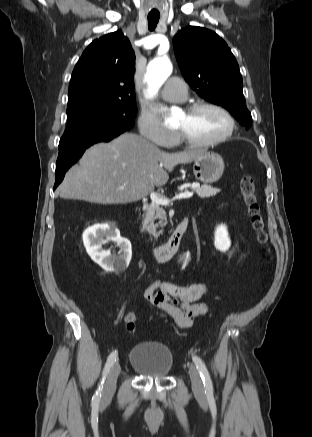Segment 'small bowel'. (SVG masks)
<instances>
[{
    "label": "small bowel",
    "instance_id": "c3829d8e",
    "mask_svg": "<svg viewBox=\"0 0 312 437\" xmlns=\"http://www.w3.org/2000/svg\"><path fill=\"white\" fill-rule=\"evenodd\" d=\"M201 283L178 285L163 280H155L144 292V299L168 314L180 328H190L196 317L208 311L201 298L206 294Z\"/></svg>",
    "mask_w": 312,
    "mask_h": 437
}]
</instances>
